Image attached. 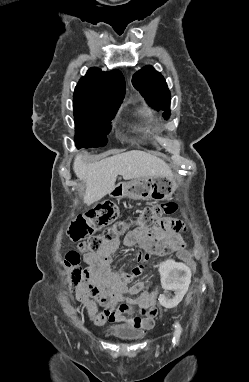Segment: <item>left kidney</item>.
I'll list each match as a JSON object with an SVG mask.
<instances>
[{"instance_id": "obj_1", "label": "left kidney", "mask_w": 249, "mask_h": 382, "mask_svg": "<svg viewBox=\"0 0 249 382\" xmlns=\"http://www.w3.org/2000/svg\"><path fill=\"white\" fill-rule=\"evenodd\" d=\"M185 268L179 260H165L159 263L160 282L164 287V295L159 301L162 309H177V305L187 297L191 271Z\"/></svg>"}]
</instances>
